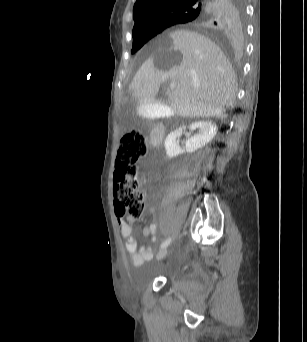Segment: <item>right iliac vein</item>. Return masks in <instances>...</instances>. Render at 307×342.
Returning <instances> with one entry per match:
<instances>
[{"mask_svg": "<svg viewBox=\"0 0 307 342\" xmlns=\"http://www.w3.org/2000/svg\"><path fill=\"white\" fill-rule=\"evenodd\" d=\"M166 255H167V248H163V249H161V250L157 253V259H158V260H161V259H163Z\"/></svg>", "mask_w": 307, "mask_h": 342, "instance_id": "63e3f726", "label": "right iliac vein"}]
</instances>
